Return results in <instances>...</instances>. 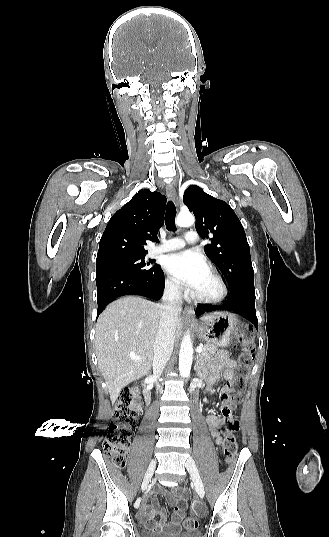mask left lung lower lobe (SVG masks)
Returning a JSON list of instances; mask_svg holds the SVG:
<instances>
[{"mask_svg":"<svg viewBox=\"0 0 329 537\" xmlns=\"http://www.w3.org/2000/svg\"><path fill=\"white\" fill-rule=\"evenodd\" d=\"M203 308V312L228 311L239 314L255 327H258V319L255 310V293H238L227 298L222 305L213 306L203 304ZM198 310L201 311L199 306Z\"/></svg>","mask_w":329,"mask_h":537,"instance_id":"0a47b994","label":"left lung lower lobe"}]
</instances>
